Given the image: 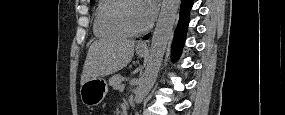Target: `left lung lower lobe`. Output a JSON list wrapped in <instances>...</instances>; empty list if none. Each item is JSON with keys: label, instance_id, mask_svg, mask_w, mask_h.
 Returning <instances> with one entry per match:
<instances>
[{"label": "left lung lower lobe", "instance_id": "obj_1", "mask_svg": "<svg viewBox=\"0 0 285 115\" xmlns=\"http://www.w3.org/2000/svg\"><path fill=\"white\" fill-rule=\"evenodd\" d=\"M193 1L192 0H182L181 2V8H180V18L178 22V26L175 30L174 34V41L172 44V59L173 61H176L182 51L187 27L189 23V11L192 8ZM150 34L146 35L144 39H148Z\"/></svg>", "mask_w": 285, "mask_h": 115}]
</instances>
